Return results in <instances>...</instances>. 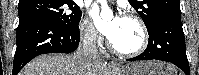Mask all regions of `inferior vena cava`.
<instances>
[{"instance_id":"602c4592","label":"inferior vena cava","mask_w":199,"mask_h":75,"mask_svg":"<svg viewBox=\"0 0 199 75\" xmlns=\"http://www.w3.org/2000/svg\"><path fill=\"white\" fill-rule=\"evenodd\" d=\"M96 32L95 30H89L82 38L81 45L78 49L79 53H82L84 57L90 60H99L100 56L96 46ZM90 70V66L88 67Z\"/></svg>"}]
</instances>
